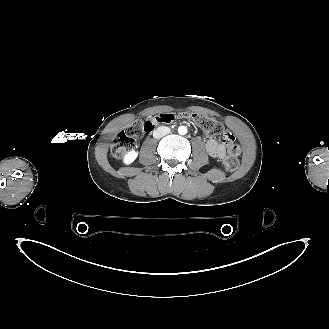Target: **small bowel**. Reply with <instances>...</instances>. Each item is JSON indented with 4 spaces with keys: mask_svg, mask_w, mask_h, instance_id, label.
Wrapping results in <instances>:
<instances>
[{
    "mask_svg": "<svg viewBox=\"0 0 329 329\" xmlns=\"http://www.w3.org/2000/svg\"><path fill=\"white\" fill-rule=\"evenodd\" d=\"M155 120L157 123L162 124V123H170L173 124L176 122L177 117L175 114L170 113V112H162L156 115ZM206 150L208 154L216 158L218 160H225L226 157L233 155L237 156L239 154V148L238 146L232 145L226 148L224 145L219 144L213 139H209L207 144H206Z\"/></svg>",
    "mask_w": 329,
    "mask_h": 329,
    "instance_id": "small-bowel-1",
    "label": "small bowel"
}]
</instances>
